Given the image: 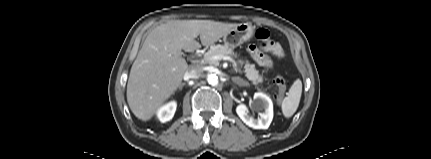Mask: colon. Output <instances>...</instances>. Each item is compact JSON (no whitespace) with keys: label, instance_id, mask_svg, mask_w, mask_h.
Returning <instances> with one entry per match:
<instances>
[{"label":"colon","instance_id":"1","mask_svg":"<svg viewBox=\"0 0 431 159\" xmlns=\"http://www.w3.org/2000/svg\"><path fill=\"white\" fill-rule=\"evenodd\" d=\"M256 38L262 42L263 45L271 46L274 41L270 38V33L266 29H258L255 33ZM274 84L277 89V98L282 99L284 97L287 82L282 76H277L274 79Z\"/></svg>","mask_w":431,"mask_h":159}]
</instances>
